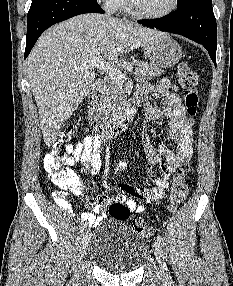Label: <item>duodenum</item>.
I'll return each mask as SVG.
<instances>
[{
  "instance_id": "duodenum-1",
  "label": "duodenum",
  "mask_w": 233,
  "mask_h": 286,
  "mask_svg": "<svg viewBox=\"0 0 233 286\" xmlns=\"http://www.w3.org/2000/svg\"><path fill=\"white\" fill-rule=\"evenodd\" d=\"M102 82L95 84L87 99V118L89 126L94 131L102 132L104 136H111L127 128L134 120L132 108L122 110L115 118L106 119L100 112L98 99Z\"/></svg>"
}]
</instances>
